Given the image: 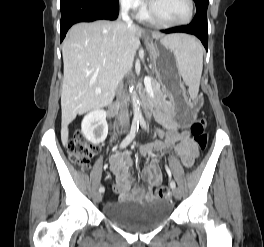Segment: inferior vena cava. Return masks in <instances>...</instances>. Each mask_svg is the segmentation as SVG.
<instances>
[{
    "label": "inferior vena cava",
    "instance_id": "1",
    "mask_svg": "<svg viewBox=\"0 0 264 247\" xmlns=\"http://www.w3.org/2000/svg\"><path fill=\"white\" fill-rule=\"evenodd\" d=\"M130 9V3H122L121 5V18L122 20L128 25L131 26L133 24V21L130 19L128 12ZM116 96H117V100L120 101L121 103V110L119 113V123L120 125H127L129 124V113H128V109L125 106V89H124V85L123 83L120 81L118 83L117 89H116Z\"/></svg>",
    "mask_w": 264,
    "mask_h": 247
}]
</instances>
